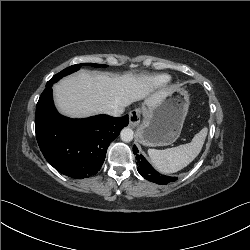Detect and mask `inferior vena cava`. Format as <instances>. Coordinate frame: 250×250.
<instances>
[{
  "label": "inferior vena cava",
  "instance_id": "obj_1",
  "mask_svg": "<svg viewBox=\"0 0 250 250\" xmlns=\"http://www.w3.org/2000/svg\"><path fill=\"white\" fill-rule=\"evenodd\" d=\"M122 113H123L122 109H114V110L107 112L108 115L114 116V117H119V116H121Z\"/></svg>",
  "mask_w": 250,
  "mask_h": 250
}]
</instances>
